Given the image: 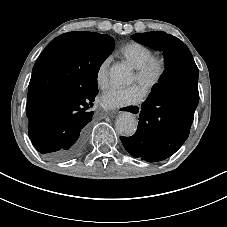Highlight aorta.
I'll return each mask as SVG.
<instances>
[{
    "mask_svg": "<svg viewBox=\"0 0 227 227\" xmlns=\"http://www.w3.org/2000/svg\"><path fill=\"white\" fill-rule=\"evenodd\" d=\"M110 78L115 84H128L132 81V73L125 64H114L110 68ZM137 120L132 113H122L116 120L117 131L123 136H132L137 129Z\"/></svg>",
    "mask_w": 227,
    "mask_h": 227,
    "instance_id": "1",
    "label": "aorta"
}]
</instances>
